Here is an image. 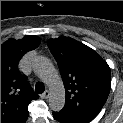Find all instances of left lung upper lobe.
I'll use <instances>...</instances> for the list:
<instances>
[{"label": "left lung upper lobe", "instance_id": "5c2ea615", "mask_svg": "<svg viewBox=\"0 0 123 123\" xmlns=\"http://www.w3.org/2000/svg\"><path fill=\"white\" fill-rule=\"evenodd\" d=\"M65 87V106L58 113L75 123H89L104 106L111 87V71L93 49L69 37L50 39Z\"/></svg>", "mask_w": 123, "mask_h": 123}]
</instances>
